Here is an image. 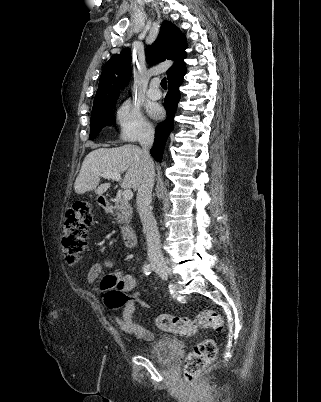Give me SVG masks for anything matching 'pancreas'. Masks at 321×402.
<instances>
[{"mask_svg": "<svg viewBox=\"0 0 321 402\" xmlns=\"http://www.w3.org/2000/svg\"><path fill=\"white\" fill-rule=\"evenodd\" d=\"M132 207L124 198L119 199L113 207L112 214L117 215L118 223H130L132 217Z\"/></svg>", "mask_w": 321, "mask_h": 402, "instance_id": "cf45deb5", "label": "pancreas"}]
</instances>
